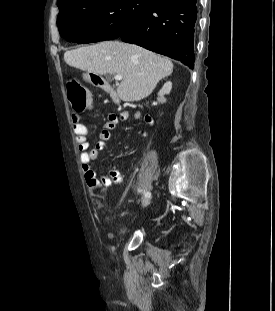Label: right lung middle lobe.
Listing matches in <instances>:
<instances>
[{
	"label": "right lung middle lobe",
	"mask_w": 275,
	"mask_h": 311,
	"mask_svg": "<svg viewBox=\"0 0 275 311\" xmlns=\"http://www.w3.org/2000/svg\"><path fill=\"white\" fill-rule=\"evenodd\" d=\"M158 0H70L59 5L57 26L67 41L90 43L117 38Z\"/></svg>",
	"instance_id": "dd1d6c3e"
}]
</instances>
